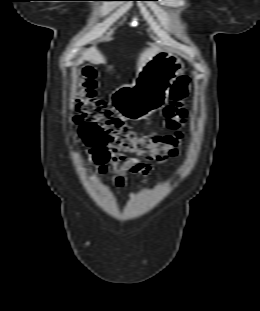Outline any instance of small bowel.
<instances>
[{"label":"small bowel","instance_id":"c3829d8e","mask_svg":"<svg viewBox=\"0 0 260 311\" xmlns=\"http://www.w3.org/2000/svg\"><path fill=\"white\" fill-rule=\"evenodd\" d=\"M112 179L116 187L123 188L126 185V174L128 172L132 174L141 173L148 175L152 171V164L145 162L137 157H130L124 160H120L119 157L112 155ZM105 170V166L100 168V172Z\"/></svg>","mask_w":260,"mask_h":311}]
</instances>
